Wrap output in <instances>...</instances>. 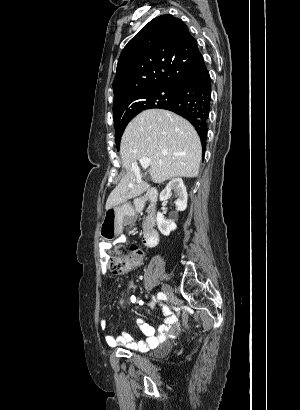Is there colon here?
Listing matches in <instances>:
<instances>
[{"mask_svg":"<svg viewBox=\"0 0 300 410\" xmlns=\"http://www.w3.org/2000/svg\"><path fill=\"white\" fill-rule=\"evenodd\" d=\"M144 254L138 246H132L129 254H107L101 259L103 266L116 274H124L144 262Z\"/></svg>","mask_w":300,"mask_h":410,"instance_id":"obj_1","label":"colon"}]
</instances>
